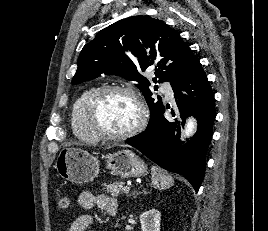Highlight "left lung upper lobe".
<instances>
[{"instance_id": "5c2ea615", "label": "left lung upper lobe", "mask_w": 268, "mask_h": 231, "mask_svg": "<svg viewBox=\"0 0 268 231\" xmlns=\"http://www.w3.org/2000/svg\"><path fill=\"white\" fill-rule=\"evenodd\" d=\"M196 59L179 33L163 21L133 16L104 28L83 47L72 83L80 84L103 73L137 82L150 108V125L164 106L160 97L157 102L151 97L150 83L140 71L155 66L153 81L171 83Z\"/></svg>"}]
</instances>
